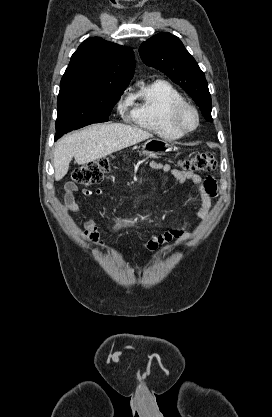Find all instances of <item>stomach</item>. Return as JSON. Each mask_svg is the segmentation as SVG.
Instances as JSON below:
<instances>
[{"instance_id":"0dacf381","label":"stomach","mask_w":272,"mask_h":417,"mask_svg":"<svg viewBox=\"0 0 272 417\" xmlns=\"http://www.w3.org/2000/svg\"><path fill=\"white\" fill-rule=\"evenodd\" d=\"M171 149L170 145L158 138H152L145 142L142 148V155L154 156L160 153L167 152Z\"/></svg>"}]
</instances>
